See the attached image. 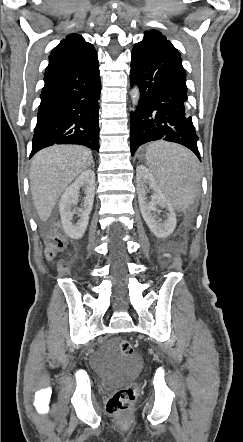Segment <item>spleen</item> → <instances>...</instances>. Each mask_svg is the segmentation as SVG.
Masks as SVG:
<instances>
[{"label":"spleen","mask_w":243,"mask_h":442,"mask_svg":"<svg viewBox=\"0 0 243 442\" xmlns=\"http://www.w3.org/2000/svg\"><path fill=\"white\" fill-rule=\"evenodd\" d=\"M146 164L163 194L171 199L172 214H190L198 178L196 157L187 149L165 142L150 144Z\"/></svg>","instance_id":"spleen-1"}]
</instances>
